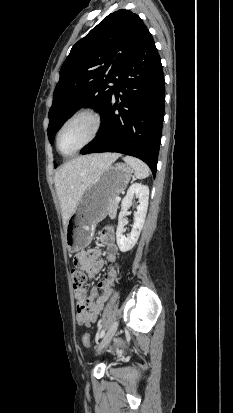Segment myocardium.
Wrapping results in <instances>:
<instances>
[{"label": "myocardium", "mask_w": 233, "mask_h": 413, "mask_svg": "<svg viewBox=\"0 0 233 413\" xmlns=\"http://www.w3.org/2000/svg\"><path fill=\"white\" fill-rule=\"evenodd\" d=\"M82 116H86L89 117L92 122H93V130L89 136V138L82 144L80 145L78 148H76L74 151H72L71 153L65 154L60 150L59 147V139H60V135L62 133V131L64 130V128L73 120L82 117ZM102 128V117L100 115V113L92 107H82L78 110H76L75 112H73L69 117H67L64 122L61 124V126L59 127L57 134H56V138H55V144H56V148L58 150V152L65 156V157H70L75 155L76 153H78L80 150H82L83 148H85L86 146H88L90 143H92L99 135L100 131Z\"/></svg>", "instance_id": "1"}]
</instances>
